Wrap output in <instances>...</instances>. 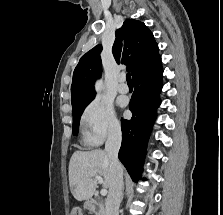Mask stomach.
I'll use <instances>...</instances> for the list:
<instances>
[{"label": "stomach", "mask_w": 223, "mask_h": 215, "mask_svg": "<svg viewBox=\"0 0 223 215\" xmlns=\"http://www.w3.org/2000/svg\"><path fill=\"white\" fill-rule=\"evenodd\" d=\"M84 207H87V209H89L90 203H88V201H86V203H84Z\"/></svg>", "instance_id": "1"}]
</instances>
